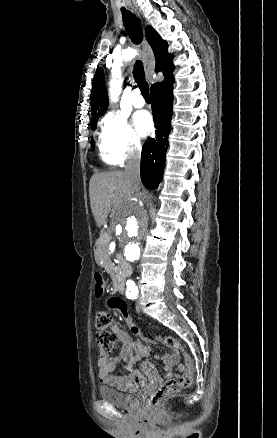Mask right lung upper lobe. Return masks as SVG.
Wrapping results in <instances>:
<instances>
[{
	"instance_id": "1",
	"label": "right lung upper lobe",
	"mask_w": 277,
	"mask_h": 438,
	"mask_svg": "<svg viewBox=\"0 0 277 438\" xmlns=\"http://www.w3.org/2000/svg\"><path fill=\"white\" fill-rule=\"evenodd\" d=\"M145 36L155 54V58H156L155 70L157 72L162 71L165 78L170 76L174 70V66L171 62L172 56L168 53V43L165 40H163L160 37V35L151 26H147L145 28ZM107 107H108V96L104 84V74L102 68L99 67L96 70L92 82L91 121L98 120V118L105 113Z\"/></svg>"
}]
</instances>
